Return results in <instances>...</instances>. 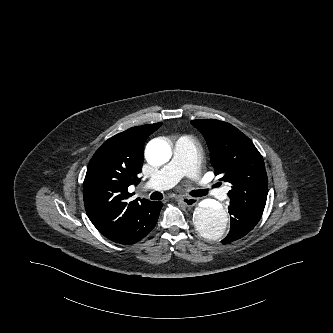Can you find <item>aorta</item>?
<instances>
[{"label": "aorta", "instance_id": "762f6f07", "mask_svg": "<svg viewBox=\"0 0 333 333\" xmlns=\"http://www.w3.org/2000/svg\"><path fill=\"white\" fill-rule=\"evenodd\" d=\"M172 155L170 145L160 139L152 140L146 147V159L153 166L166 164ZM194 224L198 232L208 239H220L229 231L226 209L221 204L201 203L195 209Z\"/></svg>", "mask_w": 333, "mask_h": 333}]
</instances>
